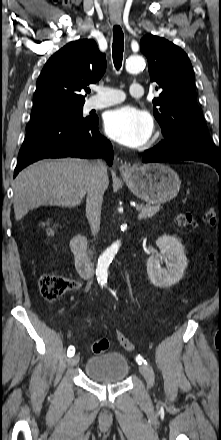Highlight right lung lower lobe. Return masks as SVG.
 Segmentation results:
<instances>
[{"instance_id":"98d812e1","label":"right lung lower lobe","mask_w":221,"mask_h":440,"mask_svg":"<svg viewBox=\"0 0 221 440\" xmlns=\"http://www.w3.org/2000/svg\"><path fill=\"white\" fill-rule=\"evenodd\" d=\"M111 143L100 135L98 117L87 121H71L49 117L31 120L19 151L14 177L26 166L44 158H97L113 162Z\"/></svg>"}]
</instances>
